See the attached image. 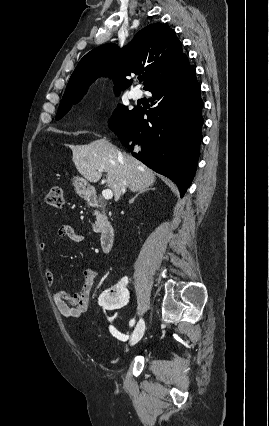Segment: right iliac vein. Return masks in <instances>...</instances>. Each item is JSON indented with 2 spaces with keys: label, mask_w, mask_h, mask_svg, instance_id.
I'll return each instance as SVG.
<instances>
[{
  "label": "right iliac vein",
  "mask_w": 269,
  "mask_h": 426,
  "mask_svg": "<svg viewBox=\"0 0 269 426\" xmlns=\"http://www.w3.org/2000/svg\"><path fill=\"white\" fill-rule=\"evenodd\" d=\"M144 331H145V322H144V319L141 318L138 321V323H137V325H136V327H135V329H134V331L131 335V338H130V345L131 346L135 345L142 338Z\"/></svg>",
  "instance_id": "right-iliac-vein-1"
}]
</instances>
